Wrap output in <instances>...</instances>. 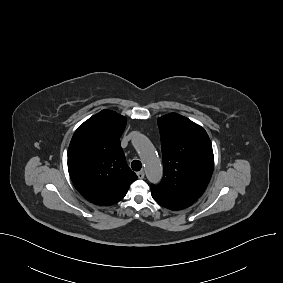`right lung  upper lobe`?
<instances>
[{"label":"right lung upper lobe","instance_id":"1","mask_svg":"<svg viewBox=\"0 0 283 283\" xmlns=\"http://www.w3.org/2000/svg\"><path fill=\"white\" fill-rule=\"evenodd\" d=\"M126 122L124 116L102 110L80 125L71 139L69 174L78 192L91 203H117L138 178L120 145Z\"/></svg>","mask_w":283,"mask_h":283}]
</instances>
